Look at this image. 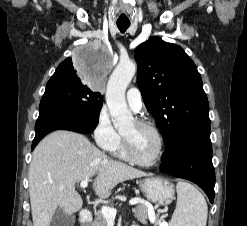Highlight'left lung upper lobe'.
<instances>
[{"label":"left lung upper lobe","mask_w":247,"mask_h":226,"mask_svg":"<svg viewBox=\"0 0 247 226\" xmlns=\"http://www.w3.org/2000/svg\"><path fill=\"white\" fill-rule=\"evenodd\" d=\"M135 58L138 87L166 147L189 129L210 124L201 76L180 46L150 37L136 48Z\"/></svg>","instance_id":"obj_1"}]
</instances>
